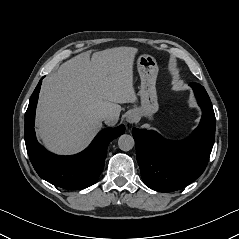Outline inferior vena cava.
Segmentation results:
<instances>
[{"mask_svg":"<svg viewBox=\"0 0 239 239\" xmlns=\"http://www.w3.org/2000/svg\"><path fill=\"white\" fill-rule=\"evenodd\" d=\"M98 118L101 120V121H109L111 120V115L108 114V113H102L98 116Z\"/></svg>","mask_w":239,"mask_h":239,"instance_id":"obj_1","label":"inferior vena cava"}]
</instances>
